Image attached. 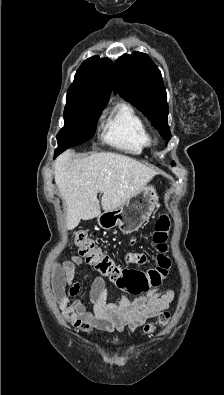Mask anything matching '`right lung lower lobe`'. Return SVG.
Wrapping results in <instances>:
<instances>
[{
    "label": "right lung lower lobe",
    "mask_w": 224,
    "mask_h": 395,
    "mask_svg": "<svg viewBox=\"0 0 224 395\" xmlns=\"http://www.w3.org/2000/svg\"><path fill=\"white\" fill-rule=\"evenodd\" d=\"M64 150H66L65 148H57L55 150V157L58 156L60 153H62Z\"/></svg>",
    "instance_id": "right-lung-lower-lobe-1"
}]
</instances>
